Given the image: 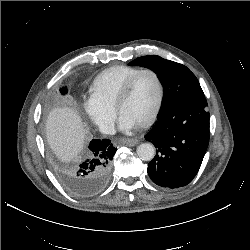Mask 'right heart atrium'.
<instances>
[{"mask_svg": "<svg viewBox=\"0 0 250 250\" xmlns=\"http://www.w3.org/2000/svg\"><path fill=\"white\" fill-rule=\"evenodd\" d=\"M85 117L103 132H109L113 126L114 110L104 107L89 97L83 105Z\"/></svg>", "mask_w": 250, "mask_h": 250, "instance_id": "obj_1", "label": "right heart atrium"}]
</instances>
